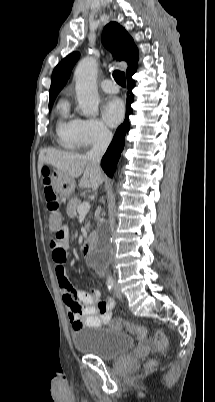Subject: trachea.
Instances as JSON below:
<instances>
[{
    "label": "trachea",
    "mask_w": 215,
    "mask_h": 402,
    "mask_svg": "<svg viewBox=\"0 0 215 402\" xmlns=\"http://www.w3.org/2000/svg\"><path fill=\"white\" fill-rule=\"evenodd\" d=\"M113 77H114L115 81H116L119 85H121V86H123V87L126 86V79H125V74H124V72L119 71V70H115V71L113 72Z\"/></svg>",
    "instance_id": "obj_1"
}]
</instances>
